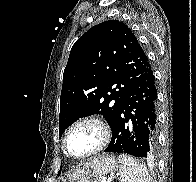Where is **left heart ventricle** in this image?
Masks as SVG:
<instances>
[{
    "label": "left heart ventricle",
    "instance_id": "b2bd125f",
    "mask_svg": "<svg viewBox=\"0 0 196 182\" xmlns=\"http://www.w3.org/2000/svg\"><path fill=\"white\" fill-rule=\"evenodd\" d=\"M99 141V132L93 125H83L72 131L68 149L74 155H83L92 150Z\"/></svg>",
    "mask_w": 196,
    "mask_h": 182
}]
</instances>
